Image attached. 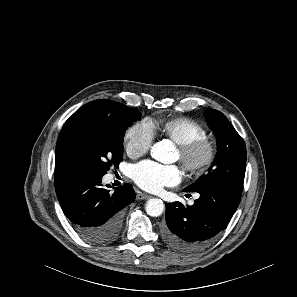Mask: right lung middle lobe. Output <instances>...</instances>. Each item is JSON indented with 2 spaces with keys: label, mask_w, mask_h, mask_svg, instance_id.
<instances>
[{
  "label": "right lung middle lobe",
  "mask_w": 297,
  "mask_h": 297,
  "mask_svg": "<svg viewBox=\"0 0 297 297\" xmlns=\"http://www.w3.org/2000/svg\"><path fill=\"white\" fill-rule=\"evenodd\" d=\"M120 119L109 124L87 119L72 121L59 135L56 163L60 168H75L103 176L110 166L123 160L124 133L141 113L119 104Z\"/></svg>",
  "instance_id": "1"
}]
</instances>
